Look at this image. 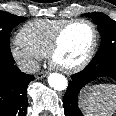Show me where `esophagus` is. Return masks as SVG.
Instances as JSON below:
<instances>
[{"mask_svg":"<svg viewBox=\"0 0 116 116\" xmlns=\"http://www.w3.org/2000/svg\"><path fill=\"white\" fill-rule=\"evenodd\" d=\"M47 75H48L47 71L39 72V73L36 74V78L37 79H42V78L46 77Z\"/></svg>","mask_w":116,"mask_h":116,"instance_id":"1","label":"esophagus"}]
</instances>
